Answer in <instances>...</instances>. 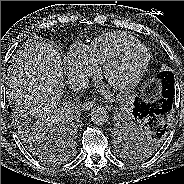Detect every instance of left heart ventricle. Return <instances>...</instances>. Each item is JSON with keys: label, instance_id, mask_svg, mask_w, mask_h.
Instances as JSON below:
<instances>
[{"label": "left heart ventricle", "instance_id": "left-heart-ventricle-1", "mask_svg": "<svg viewBox=\"0 0 184 184\" xmlns=\"http://www.w3.org/2000/svg\"><path fill=\"white\" fill-rule=\"evenodd\" d=\"M144 57L145 50L141 48L131 50L108 70L105 80L110 85L123 83L139 69Z\"/></svg>", "mask_w": 184, "mask_h": 184}]
</instances>
